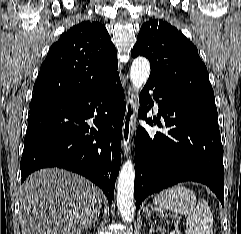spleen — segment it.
<instances>
[{"label": "spleen", "instance_id": "obj_1", "mask_svg": "<svg viewBox=\"0 0 241 234\" xmlns=\"http://www.w3.org/2000/svg\"><path fill=\"white\" fill-rule=\"evenodd\" d=\"M153 202L186 218V234H213V215L208 202L198 203L193 191L183 185H175L158 193Z\"/></svg>", "mask_w": 241, "mask_h": 234}]
</instances>
